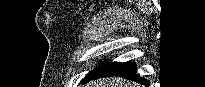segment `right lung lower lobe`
I'll use <instances>...</instances> for the list:
<instances>
[{
	"label": "right lung lower lobe",
	"mask_w": 205,
	"mask_h": 87,
	"mask_svg": "<svg viewBox=\"0 0 205 87\" xmlns=\"http://www.w3.org/2000/svg\"><path fill=\"white\" fill-rule=\"evenodd\" d=\"M110 76H120L127 78L132 81L142 83L146 86L149 85L148 80L139 77L136 74V64L135 63H122V62H103L100 66L92 70L82 81L86 83L90 80L110 77Z\"/></svg>",
	"instance_id": "98d812e1"
}]
</instances>
